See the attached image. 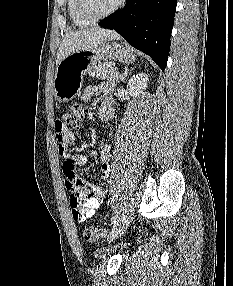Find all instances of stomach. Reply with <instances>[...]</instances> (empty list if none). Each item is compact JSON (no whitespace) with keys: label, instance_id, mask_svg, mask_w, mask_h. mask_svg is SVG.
<instances>
[{"label":"stomach","instance_id":"stomach-1","mask_svg":"<svg viewBox=\"0 0 233 286\" xmlns=\"http://www.w3.org/2000/svg\"><path fill=\"white\" fill-rule=\"evenodd\" d=\"M134 51L114 41H106L96 48L74 52L58 63L54 78V96L59 102H67L80 91L83 76L102 61L121 63L135 61Z\"/></svg>","mask_w":233,"mask_h":286}]
</instances>
